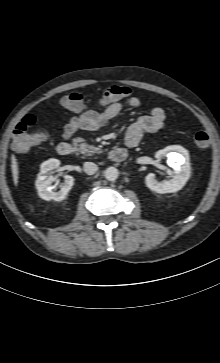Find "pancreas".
Instances as JSON below:
<instances>
[{
	"label": "pancreas",
	"instance_id": "cf45deb5",
	"mask_svg": "<svg viewBox=\"0 0 220 363\" xmlns=\"http://www.w3.org/2000/svg\"><path fill=\"white\" fill-rule=\"evenodd\" d=\"M82 141H83L82 138H76V139H74V145L77 147V150L79 152H81L83 155L91 156L95 153H100V149L97 147H94L93 145H89L87 143L78 144L79 142H82Z\"/></svg>",
	"mask_w": 220,
	"mask_h": 363
}]
</instances>
